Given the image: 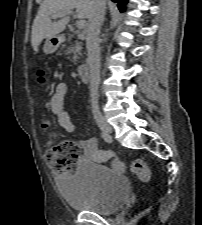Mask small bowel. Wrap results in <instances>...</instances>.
I'll list each match as a JSON object with an SVG mask.
<instances>
[{
    "label": "small bowel",
    "instance_id": "1",
    "mask_svg": "<svg viewBox=\"0 0 202 225\" xmlns=\"http://www.w3.org/2000/svg\"><path fill=\"white\" fill-rule=\"evenodd\" d=\"M68 91V86L64 82L57 84L53 96L49 100V107L52 114L56 117L58 125L68 133L75 131V125L72 122L71 116L64 109L65 96ZM82 148L81 160H88L94 163H105L108 159L105 155L108 151L99 150L97 148V140L94 137L84 138L80 141Z\"/></svg>",
    "mask_w": 202,
    "mask_h": 225
}]
</instances>
